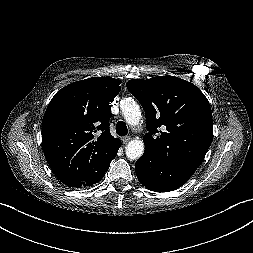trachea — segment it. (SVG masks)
<instances>
[{"mask_svg": "<svg viewBox=\"0 0 253 253\" xmlns=\"http://www.w3.org/2000/svg\"><path fill=\"white\" fill-rule=\"evenodd\" d=\"M116 133L119 136H125V135H127L128 129H127L126 124L123 121L117 122V124H116Z\"/></svg>", "mask_w": 253, "mask_h": 253, "instance_id": "3493384b", "label": "trachea"}]
</instances>
